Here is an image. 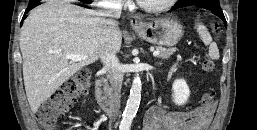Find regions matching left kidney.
I'll list each match as a JSON object with an SVG mask.
<instances>
[{
	"label": "left kidney",
	"mask_w": 257,
	"mask_h": 130,
	"mask_svg": "<svg viewBox=\"0 0 257 130\" xmlns=\"http://www.w3.org/2000/svg\"><path fill=\"white\" fill-rule=\"evenodd\" d=\"M172 90L173 102L178 106L184 105L190 96V89L186 81L184 79L175 80L172 85Z\"/></svg>",
	"instance_id": "obj_1"
}]
</instances>
